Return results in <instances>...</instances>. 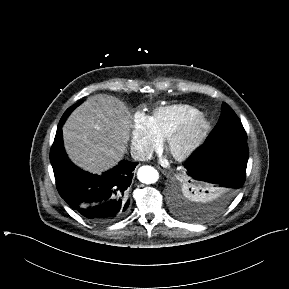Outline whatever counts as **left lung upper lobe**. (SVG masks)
Here are the masks:
<instances>
[{
  "label": "left lung upper lobe",
  "mask_w": 289,
  "mask_h": 289,
  "mask_svg": "<svg viewBox=\"0 0 289 289\" xmlns=\"http://www.w3.org/2000/svg\"><path fill=\"white\" fill-rule=\"evenodd\" d=\"M247 135L241 121L226 103L222 104L219 121L207 137L204 145H212L229 140H246ZM174 203L173 210L181 218L190 221H206L216 216L213 195L205 191L204 187L182 186V191Z\"/></svg>",
  "instance_id": "1"
}]
</instances>
